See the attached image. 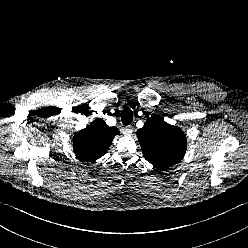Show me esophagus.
Masks as SVG:
<instances>
[{"label": "esophagus", "instance_id": "1", "mask_svg": "<svg viewBox=\"0 0 248 248\" xmlns=\"http://www.w3.org/2000/svg\"><path fill=\"white\" fill-rule=\"evenodd\" d=\"M123 130L126 134H132V132L134 131V128L133 126L129 125V126L124 127Z\"/></svg>", "mask_w": 248, "mask_h": 248}]
</instances>
